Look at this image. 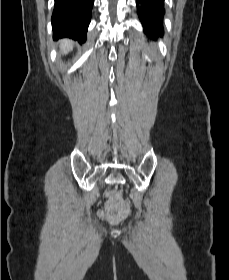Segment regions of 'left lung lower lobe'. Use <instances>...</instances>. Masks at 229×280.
<instances>
[{
	"instance_id": "obj_1",
	"label": "left lung lower lobe",
	"mask_w": 229,
	"mask_h": 280,
	"mask_svg": "<svg viewBox=\"0 0 229 280\" xmlns=\"http://www.w3.org/2000/svg\"><path fill=\"white\" fill-rule=\"evenodd\" d=\"M138 15L141 19L144 32L156 38L163 35L161 24L164 15V0H136Z\"/></svg>"
}]
</instances>
